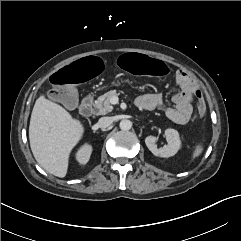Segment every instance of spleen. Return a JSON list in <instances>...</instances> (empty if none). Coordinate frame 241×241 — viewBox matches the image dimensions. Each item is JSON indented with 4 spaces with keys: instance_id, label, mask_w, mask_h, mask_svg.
Listing matches in <instances>:
<instances>
[{
    "instance_id": "1",
    "label": "spleen",
    "mask_w": 241,
    "mask_h": 241,
    "mask_svg": "<svg viewBox=\"0 0 241 241\" xmlns=\"http://www.w3.org/2000/svg\"><path fill=\"white\" fill-rule=\"evenodd\" d=\"M202 152H203V146L202 145H197L195 147L194 151H193L192 159H195V158L199 157Z\"/></svg>"
}]
</instances>
